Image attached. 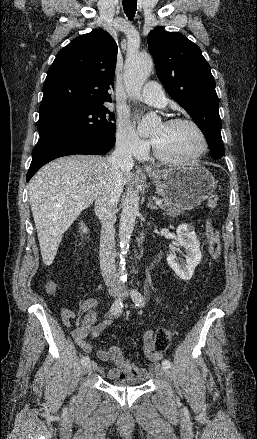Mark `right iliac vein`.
Segmentation results:
<instances>
[{"label":"right iliac vein","instance_id":"63e3f726","mask_svg":"<svg viewBox=\"0 0 257 439\" xmlns=\"http://www.w3.org/2000/svg\"><path fill=\"white\" fill-rule=\"evenodd\" d=\"M113 295L115 296L116 293H113ZM91 369H92V364H91V363L88 362V363H86V364L83 365V372H84V373H88V372H90Z\"/></svg>","mask_w":257,"mask_h":439}]
</instances>
